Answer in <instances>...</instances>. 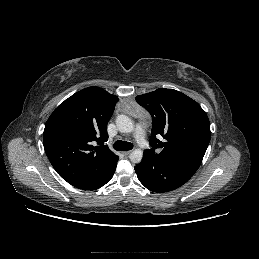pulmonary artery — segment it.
<instances>
[{
    "label": "pulmonary artery",
    "instance_id": "obj_1",
    "mask_svg": "<svg viewBox=\"0 0 259 259\" xmlns=\"http://www.w3.org/2000/svg\"><path fill=\"white\" fill-rule=\"evenodd\" d=\"M134 136L140 146L146 147L148 145L146 136H145V131L142 126L138 125L136 127Z\"/></svg>",
    "mask_w": 259,
    "mask_h": 259
}]
</instances>
